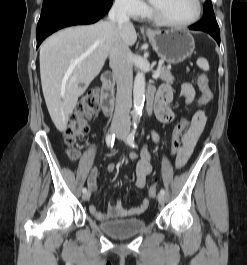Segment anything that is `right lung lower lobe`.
I'll use <instances>...</instances> for the list:
<instances>
[{
	"label": "right lung lower lobe",
	"mask_w": 247,
	"mask_h": 265,
	"mask_svg": "<svg viewBox=\"0 0 247 265\" xmlns=\"http://www.w3.org/2000/svg\"><path fill=\"white\" fill-rule=\"evenodd\" d=\"M111 5L112 0H44L37 25V48L47 36L61 28L95 23Z\"/></svg>",
	"instance_id": "98d812e1"
}]
</instances>
